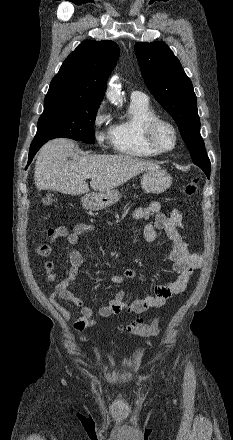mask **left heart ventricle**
<instances>
[{
    "instance_id": "obj_1",
    "label": "left heart ventricle",
    "mask_w": 233,
    "mask_h": 440,
    "mask_svg": "<svg viewBox=\"0 0 233 440\" xmlns=\"http://www.w3.org/2000/svg\"><path fill=\"white\" fill-rule=\"evenodd\" d=\"M156 141L163 148H170L173 145L174 137L169 127L160 126L156 133Z\"/></svg>"
}]
</instances>
